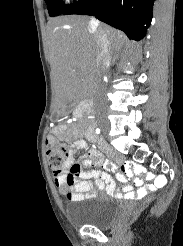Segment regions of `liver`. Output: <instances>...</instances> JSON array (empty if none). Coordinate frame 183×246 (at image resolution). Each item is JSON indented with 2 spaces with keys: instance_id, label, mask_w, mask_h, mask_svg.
<instances>
[{
  "instance_id": "obj_1",
  "label": "liver",
  "mask_w": 183,
  "mask_h": 246,
  "mask_svg": "<svg viewBox=\"0 0 183 246\" xmlns=\"http://www.w3.org/2000/svg\"><path fill=\"white\" fill-rule=\"evenodd\" d=\"M107 35L111 52L120 51L125 35L100 24ZM48 50L56 107L75 103L85 97L90 84L98 78L99 32L86 16L53 18L48 22Z\"/></svg>"
}]
</instances>
